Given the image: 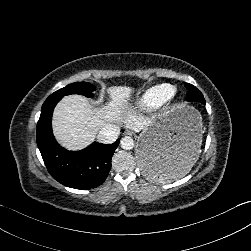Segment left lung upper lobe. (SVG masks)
<instances>
[{
    "mask_svg": "<svg viewBox=\"0 0 251 251\" xmlns=\"http://www.w3.org/2000/svg\"><path fill=\"white\" fill-rule=\"evenodd\" d=\"M185 87L188 89V93L186 95V100L188 101H196L205 104V99L202 93L192 84L185 83Z\"/></svg>",
    "mask_w": 251,
    "mask_h": 251,
    "instance_id": "obj_1",
    "label": "left lung upper lobe"
}]
</instances>
